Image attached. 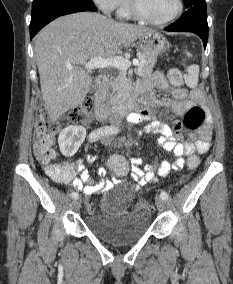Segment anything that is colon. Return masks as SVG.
<instances>
[{"label":"colon","instance_id":"5ec220e1","mask_svg":"<svg viewBox=\"0 0 233 284\" xmlns=\"http://www.w3.org/2000/svg\"><path fill=\"white\" fill-rule=\"evenodd\" d=\"M167 76L172 85H182L183 74L179 69H169ZM94 108L95 101L91 98H87L79 106L69 112L68 119L72 123L86 124L90 121ZM205 120L206 113L204 109L196 105L186 111L183 125L188 130H196L204 124ZM59 127V123L48 116L46 107L40 106L37 111L35 126L34 154L37 160L43 164H49L56 156L53 144ZM198 165L199 158L197 156L191 155L188 157V168L195 169ZM108 167L118 178H122L128 174L129 163L124 157L113 155L108 160ZM141 206L147 210L152 209L151 202L148 199L142 200Z\"/></svg>","mask_w":233,"mask_h":284}]
</instances>
